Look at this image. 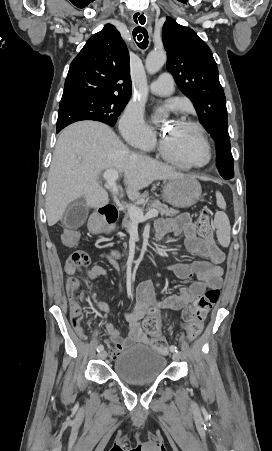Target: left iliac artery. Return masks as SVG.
<instances>
[{"label":"left iliac artery","instance_id":"44dca946","mask_svg":"<svg viewBox=\"0 0 272 451\" xmlns=\"http://www.w3.org/2000/svg\"><path fill=\"white\" fill-rule=\"evenodd\" d=\"M170 351L171 352H178V349H177V347L176 346H174V345H172V346H170Z\"/></svg>","mask_w":272,"mask_h":451}]
</instances>
